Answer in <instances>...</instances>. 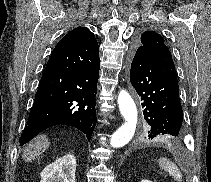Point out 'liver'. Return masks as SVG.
I'll return each instance as SVG.
<instances>
[{
  "instance_id": "1",
  "label": "liver",
  "mask_w": 211,
  "mask_h": 182,
  "mask_svg": "<svg viewBox=\"0 0 211 182\" xmlns=\"http://www.w3.org/2000/svg\"><path fill=\"white\" fill-rule=\"evenodd\" d=\"M50 143L46 135L36 137L24 150L22 158L30 162L40 156L49 147Z\"/></svg>"
}]
</instances>
